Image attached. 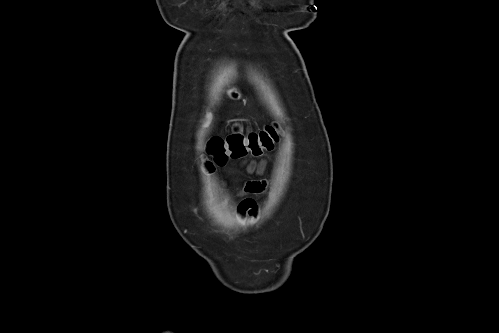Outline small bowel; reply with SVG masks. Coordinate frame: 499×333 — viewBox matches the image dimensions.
Here are the masks:
<instances>
[{"instance_id":"1","label":"small bowel","mask_w":499,"mask_h":333,"mask_svg":"<svg viewBox=\"0 0 499 333\" xmlns=\"http://www.w3.org/2000/svg\"><path fill=\"white\" fill-rule=\"evenodd\" d=\"M265 189V183L262 181H252L247 183L245 186L244 192L249 194L260 193ZM255 204L251 199H245L239 206V212L241 215H245L247 212L254 213Z\"/></svg>"}]
</instances>
